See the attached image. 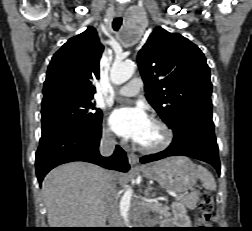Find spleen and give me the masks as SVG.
<instances>
[{"label": "spleen", "mask_w": 252, "mask_h": 231, "mask_svg": "<svg viewBox=\"0 0 252 231\" xmlns=\"http://www.w3.org/2000/svg\"><path fill=\"white\" fill-rule=\"evenodd\" d=\"M196 172H197V177L202 181L204 188L211 191L216 190V182L212 174L206 168L202 166H198Z\"/></svg>", "instance_id": "1"}]
</instances>
